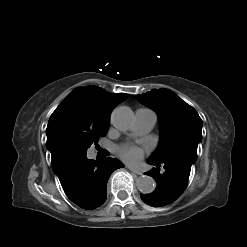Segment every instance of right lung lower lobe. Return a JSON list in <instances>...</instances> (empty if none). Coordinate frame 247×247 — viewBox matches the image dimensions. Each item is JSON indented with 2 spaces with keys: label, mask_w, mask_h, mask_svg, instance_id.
<instances>
[{
  "label": "right lung lower lobe",
  "mask_w": 247,
  "mask_h": 247,
  "mask_svg": "<svg viewBox=\"0 0 247 247\" xmlns=\"http://www.w3.org/2000/svg\"><path fill=\"white\" fill-rule=\"evenodd\" d=\"M124 165L113 158L89 160L86 155L60 153L52 157V169L64 192L76 205L95 209L106 200V185L111 173Z\"/></svg>",
  "instance_id": "right-lung-lower-lobe-1"
}]
</instances>
